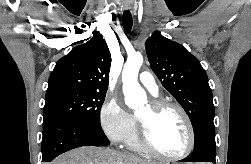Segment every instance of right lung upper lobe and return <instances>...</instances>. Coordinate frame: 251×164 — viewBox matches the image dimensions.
Returning <instances> with one entry per match:
<instances>
[{
  "mask_svg": "<svg viewBox=\"0 0 251 164\" xmlns=\"http://www.w3.org/2000/svg\"><path fill=\"white\" fill-rule=\"evenodd\" d=\"M111 54L99 32L62 57L52 71L47 92L58 89L106 93Z\"/></svg>",
  "mask_w": 251,
  "mask_h": 164,
  "instance_id": "obj_1",
  "label": "right lung upper lobe"
}]
</instances>
